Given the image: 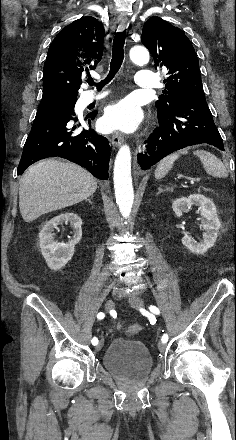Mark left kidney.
<instances>
[{
  "mask_svg": "<svg viewBox=\"0 0 236 440\" xmlns=\"http://www.w3.org/2000/svg\"><path fill=\"white\" fill-rule=\"evenodd\" d=\"M197 206L202 216V226L204 229L203 239L198 243L189 235H184L182 244L191 252L204 254L214 246L221 223L217 214L216 206L211 199L201 194H192L188 197L178 198L173 201L172 208L175 215L180 218L191 206Z\"/></svg>",
  "mask_w": 236,
  "mask_h": 440,
  "instance_id": "1",
  "label": "left kidney"
}]
</instances>
